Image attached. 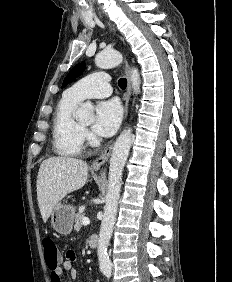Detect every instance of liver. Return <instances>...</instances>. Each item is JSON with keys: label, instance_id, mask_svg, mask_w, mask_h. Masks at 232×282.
I'll use <instances>...</instances> for the list:
<instances>
[{"label": "liver", "instance_id": "6515ba94", "mask_svg": "<svg viewBox=\"0 0 232 282\" xmlns=\"http://www.w3.org/2000/svg\"><path fill=\"white\" fill-rule=\"evenodd\" d=\"M88 176V164L71 157L44 160L37 175V200L44 223L55 205L67 194L81 189Z\"/></svg>", "mask_w": 232, "mask_h": 282}]
</instances>
